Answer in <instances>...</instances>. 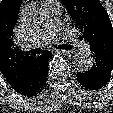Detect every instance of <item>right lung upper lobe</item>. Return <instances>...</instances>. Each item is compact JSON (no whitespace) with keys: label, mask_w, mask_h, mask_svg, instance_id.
<instances>
[{"label":"right lung upper lobe","mask_w":113,"mask_h":113,"mask_svg":"<svg viewBox=\"0 0 113 113\" xmlns=\"http://www.w3.org/2000/svg\"><path fill=\"white\" fill-rule=\"evenodd\" d=\"M22 0H2L0 3V71L12 86L27 73L34 56L21 51L15 43L13 29Z\"/></svg>","instance_id":"cb5924a9"}]
</instances>
